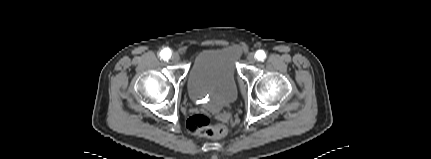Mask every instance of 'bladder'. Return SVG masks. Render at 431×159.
<instances>
[{
  "instance_id": "1",
  "label": "bladder",
  "mask_w": 431,
  "mask_h": 159,
  "mask_svg": "<svg viewBox=\"0 0 431 159\" xmlns=\"http://www.w3.org/2000/svg\"><path fill=\"white\" fill-rule=\"evenodd\" d=\"M236 45L210 48L198 53L188 73L190 98L210 111H220L237 98Z\"/></svg>"
}]
</instances>
